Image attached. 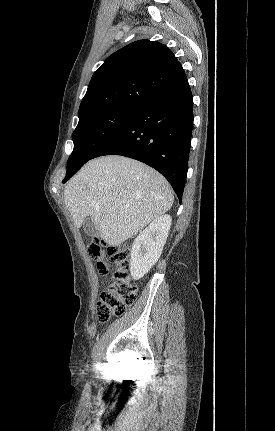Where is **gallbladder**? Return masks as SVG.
Masks as SVG:
<instances>
[{
  "instance_id": "1",
  "label": "gallbladder",
  "mask_w": 275,
  "mask_h": 431,
  "mask_svg": "<svg viewBox=\"0 0 275 431\" xmlns=\"http://www.w3.org/2000/svg\"><path fill=\"white\" fill-rule=\"evenodd\" d=\"M83 229L85 233L91 237H95L98 235V231L96 226L90 216H88L83 222Z\"/></svg>"
}]
</instances>
